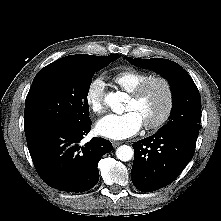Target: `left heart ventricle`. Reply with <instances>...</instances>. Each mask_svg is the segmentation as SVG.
<instances>
[{"label": "left heart ventricle", "instance_id": "b2bd125f", "mask_svg": "<svg viewBox=\"0 0 221 221\" xmlns=\"http://www.w3.org/2000/svg\"><path fill=\"white\" fill-rule=\"evenodd\" d=\"M166 106V92L160 83L151 84L139 100L129 99L126 111L136 112L143 124L155 121Z\"/></svg>", "mask_w": 221, "mask_h": 221}]
</instances>
